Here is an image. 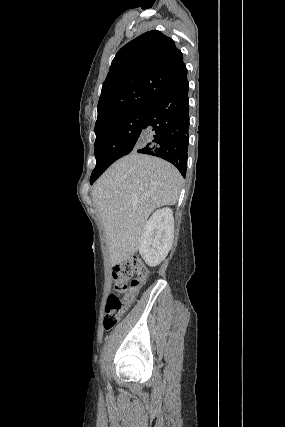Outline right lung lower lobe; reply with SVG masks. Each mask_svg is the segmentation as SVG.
<instances>
[{
	"label": "right lung lower lobe",
	"mask_w": 285,
	"mask_h": 427,
	"mask_svg": "<svg viewBox=\"0 0 285 427\" xmlns=\"http://www.w3.org/2000/svg\"><path fill=\"white\" fill-rule=\"evenodd\" d=\"M189 84L186 79L146 106L138 153L160 157L172 163L185 178L189 142ZM102 174L90 178L93 182Z\"/></svg>",
	"instance_id": "1"
}]
</instances>
